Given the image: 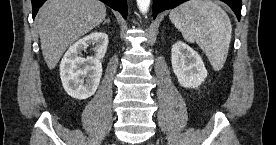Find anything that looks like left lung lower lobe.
<instances>
[{
  "mask_svg": "<svg viewBox=\"0 0 276 145\" xmlns=\"http://www.w3.org/2000/svg\"><path fill=\"white\" fill-rule=\"evenodd\" d=\"M187 0H153V18H156L157 14L176 7L177 5ZM225 2L236 14L237 19L241 17L242 0H222Z\"/></svg>",
  "mask_w": 276,
  "mask_h": 145,
  "instance_id": "1",
  "label": "left lung lower lobe"
}]
</instances>
